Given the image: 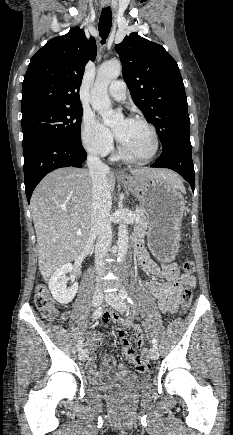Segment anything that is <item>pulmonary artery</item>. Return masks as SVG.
<instances>
[{
  "label": "pulmonary artery",
  "mask_w": 233,
  "mask_h": 435,
  "mask_svg": "<svg viewBox=\"0 0 233 435\" xmlns=\"http://www.w3.org/2000/svg\"><path fill=\"white\" fill-rule=\"evenodd\" d=\"M108 94L114 100L123 101L126 98L125 83L121 80L112 82L109 86Z\"/></svg>",
  "instance_id": "1"
}]
</instances>
